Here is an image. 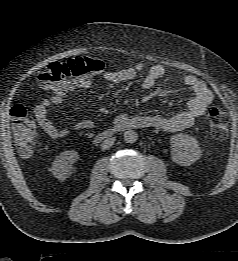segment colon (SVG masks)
<instances>
[{
  "label": "colon",
  "mask_w": 238,
  "mask_h": 261,
  "mask_svg": "<svg viewBox=\"0 0 238 261\" xmlns=\"http://www.w3.org/2000/svg\"><path fill=\"white\" fill-rule=\"evenodd\" d=\"M104 68L102 60L82 56L65 62L51 63L39 76L38 81L44 88L54 92H66L73 81L90 77ZM12 130L19 154L29 157L39 140V133L33 121L29 118L27 109L15 105L11 110ZM210 130L214 138L223 140L227 136V117L225 111L214 106L208 112Z\"/></svg>",
  "instance_id": "5ec220e1"
}]
</instances>
